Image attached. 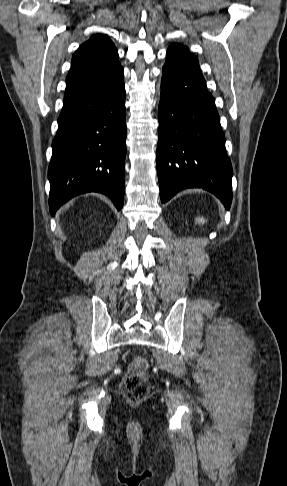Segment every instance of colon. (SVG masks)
Returning <instances> with one entry per match:
<instances>
[{
	"label": "colon",
	"mask_w": 287,
	"mask_h": 486,
	"mask_svg": "<svg viewBox=\"0 0 287 486\" xmlns=\"http://www.w3.org/2000/svg\"><path fill=\"white\" fill-rule=\"evenodd\" d=\"M147 370V360L138 356L133 359L123 378L122 390L127 398L133 403L142 401L149 392Z\"/></svg>",
	"instance_id": "1"
}]
</instances>
